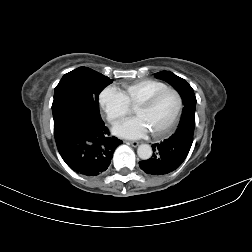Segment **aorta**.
I'll list each match as a JSON object with an SVG mask.
<instances>
[{
  "instance_id": "1",
  "label": "aorta",
  "mask_w": 252,
  "mask_h": 252,
  "mask_svg": "<svg viewBox=\"0 0 252 252\" xmlns=\"http://www.w3.org/2000/svg\"><path fill=\"white\" fill-rule=\"evenodd\" d=\"M152 148L148 144H141L138 146L137 154L142 160H148L152 156Z\"/></svg>"
}]
</instances>
